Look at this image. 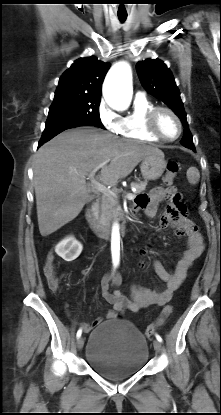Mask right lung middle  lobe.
Instances as JSON below:
<instances>
[{"label":"right lung middle lobe","mask_w":221,"mask_h":415,"mask_svg":"<svg viewBox=\"0 0 221 415\" xmlns=\"http://www.w3.org/2000/svg\"><path fill=\"white\" fill-rule=\"evenodd\" d=\"M100 100V96L86 94H55L47 121H83L105 129L99 116Z\"/></svg>","instance_id":"right-lung-middle-lobe-1"}]
</instances>
